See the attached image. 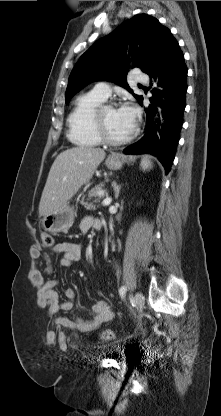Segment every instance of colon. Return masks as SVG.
<instances>
[{"label": "colon", "instance_id": "obj_1", "mask_svg": "<svg viewBox=\"0 0 221 416\" xmlns=\"http://www.w3.org/2000/svg\"><path fill=\"white\" fill-rule=\"evenodd\" d=\"M41 239H42V245L44 247H52L53 246L54 240H53V237H52L51 234L43 233L42 236H41ZM100 338L102 340H105V341H111L115 338V334L111 330H104V331L101 332Z\"/></svg>", "mask_w": 221, "mask_h": 416}]
</instances>
